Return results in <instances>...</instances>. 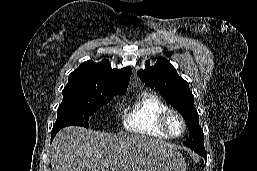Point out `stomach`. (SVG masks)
<instances>
[{
  "instance_id": "0dacf381",
  "label": "stomach",
  "mask_w": 257,
  "mask_h": 171,
  "mask_svg": "<svg viewBox=\"0 0 257 171\" xmlns=\"http://www.w3.org/2000/svg\"><path fill=\"white\" fill-rule=\"evenodd\" d=\"M140 171H186L184 157L174 150L150 152Z\"/></svg>"
}]
</instances>
